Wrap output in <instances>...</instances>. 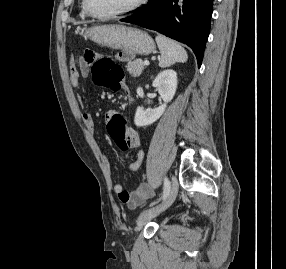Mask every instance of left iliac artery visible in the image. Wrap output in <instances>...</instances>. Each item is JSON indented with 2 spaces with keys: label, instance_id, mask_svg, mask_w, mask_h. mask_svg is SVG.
Listing matches in <instances>:
<instances>
[{
  "label": "left iliac artery",
  "instance_id": "1",
  "mask_svg": "<svg viewBox=\"0 0 286 269\" xmlns=\"http://www.w3.org/2000/svg\"><path fill=\"white\" fill-rule=\"evenodd\" d=\"M169 191H170V181L169 179L166 177L164 179V188H163V194H162V197L161 199L162 200H165L167 195L169 194ZM154 204H156V202L152 203L150 206H153Z\"/></svg>",
  "mask_w": 286,
  "mask_h": 269
}]
</instances>
